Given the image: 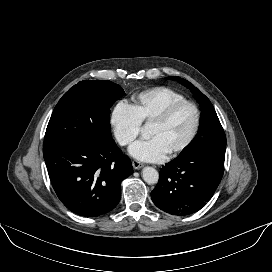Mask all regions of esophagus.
<instances>
[{
    "label": "esophagus",
    "mask_w": 272,
    "mask_h": 272,
    "mask_svg": "<svg viewBox=\"0 0 272 272\" xmlns=\"http://www.w3.org/2000/svg\"><path fill=\"white\" fill-rule=\"evenodd\" d=\"M132 166H133L134 169H141L143 167V164L136 161V160H133L132 161Z\"/></svg>",
    "instance_id": "34e87169"
}]
</instances>
